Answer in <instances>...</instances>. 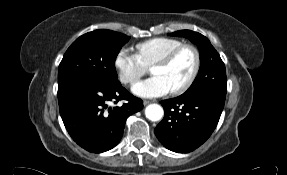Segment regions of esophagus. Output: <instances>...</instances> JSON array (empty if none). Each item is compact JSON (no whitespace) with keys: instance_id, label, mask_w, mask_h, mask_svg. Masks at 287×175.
Here are the masks:
<instances>
[{"instance_id":"obj_1","label":"esophagus","mask_w":287,"mask_h":175,"mask_svg":"<svg viewBox=\"0 0 287 175\" xmlns=\"http://www.w3.org/2000/svg\"><path fill=\"white\" fill-rule=\"evenodd\" d=\"M153 102L152 100H143L144 106L148 105L149 103Z\"/></svg>"}]
</instances>
